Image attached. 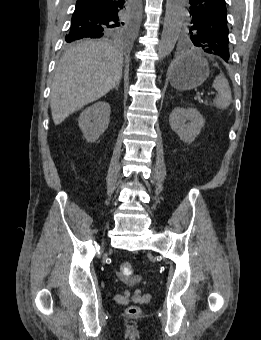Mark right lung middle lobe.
<instances>
[{
  "label": "right lung middle lobe",
  "mask_w": 261,
  "mask_h": 340,
  "mask_svg": "<svg viewBox=\"0 0 261 340\" xmlns=\"http://www.w3.org/2000/svg\"><path fill=\"white\" fill-rule=\"evenodd\" d=\"M137 5L136 2H131L128 7L123 11L121 17L109 24L96 38H107L113 40H123L127 38L132 32V26L136 15ZM82 38H87L81 33L69 32L66 35V42H74ZM91 38V37H90Z\"/></svg>",
  "instance_id": "dd1d6c3e"
}]
</instances>
